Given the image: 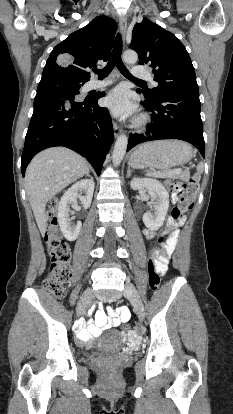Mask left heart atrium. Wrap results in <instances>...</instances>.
I'll return each mask as SVG.
<instances>
[{"mask_svg": "<svg viewBox=\"0 0 233 414\" xmlns=\"http://www.w3.org/2000/svg\"><path fill=\"white\" fill-rule=\"evenodd\" d=\"M104 104L116 116L126 117L135 111V106L130 101L129 93L123 88L111 91L105 97Z\"/></svg>", "mask_w": 233, "mask_h": 414, "instance_id": "left-heart-atrium-1", "label": "left heart atrium"}]
</instances>
